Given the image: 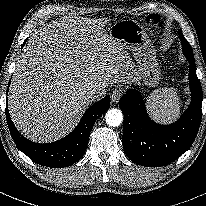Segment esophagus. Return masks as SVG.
<instances>
[{"mask_svg":"<svg viewBox=\"0 0 206 206\" xmlns=\"http://www.w3.org/2000/svg\"><path fill=\"white\" fill-rule=\"evenodd\" d=\"M123 90L121 88H115L111 93V102L117 104L122 96Z\"/></svg>","mask_w":206,"mask_h":206,"instance_id":"obj_1","label":"esophagus"}]
</instances>
